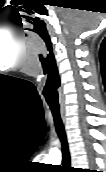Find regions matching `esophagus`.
Here are the masks:
<instances>
[{"label":"esophagus","mask_w":106,"mask_h":172,"mask_svg":"<svg viewBox=\"0 0 106 172\" xmlns=\"http://www.w3.org/2000/svg\"><path fill=\"white\" fill-rule=\"evenodd\" d=\"M60 113H61V118H62L63 122L65 123V113H64V110L62 109L60 111Z\"/></svg>","instance_id":"34e87169"}]
</instances>
